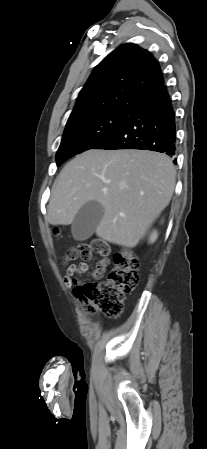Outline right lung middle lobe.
Masks as SVG:
<instances>
[{"mask_svg": "<svg viewBox=\"0 0 207 449\" xmlns=\"http://www.w3.org/2000/svg\"><path fill=\"white\" fill-rule=\"evenodd\" d=\"M131 109H109L68 119L56 154L59 166L68 158L93 148L129 119Z\"/></svg>", "mask_w": 207, "mask_h": 449, "instance_id": "dd1d6c3e", "label": "right lung middle lobe"}]
</instances>
